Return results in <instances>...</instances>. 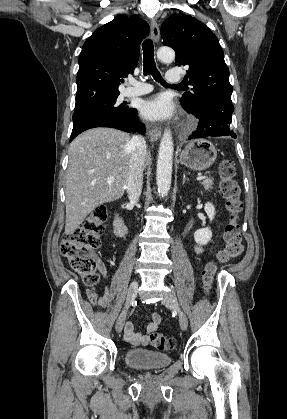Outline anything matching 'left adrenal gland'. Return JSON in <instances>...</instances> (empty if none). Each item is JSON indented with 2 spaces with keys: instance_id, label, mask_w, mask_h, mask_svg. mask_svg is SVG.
<instances>
[{
  "instance_id": "1",
  "label": "left adrenal gland",
  "mask_w": 287,
  "mask_h": 419,
  "mask_svg": "<svg viewBox=\"0 0 287 419\" xmlns=\"http://www.w3.org/2000/svg\"><path fill=\"white\" fill-rule=\"evenodd\" d=\"M189 179L186 177V175L185 174H183V181H182V184L184 185L185 184V181H188Z\"/></svg>"
}]
</instances>
